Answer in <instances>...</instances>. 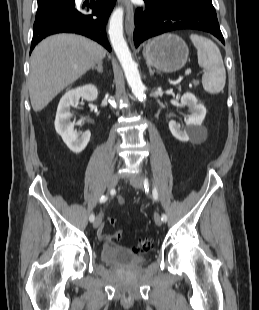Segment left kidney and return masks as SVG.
<instances>
[{
  "instance_id": "5707ae66",
  "label": "left kidney",
  "mask_w": 259,
  "mask_h": 310,
  "mask_svg": "<svg viewBox=\"0 0 259 310\" xmlns=\"http://www.w3.org/2000/svg\"><path fill=\"white\" fill-rule=\"evenodd\" d=\"M181 106H187L191 112L186 120V126L182 128L176 121L169 122L172 135L183 142L189 140L199 141L201 125L206 115V108L198 103L194 94L187 92L181 97Z\"/></svg>"
}]
</instances>
